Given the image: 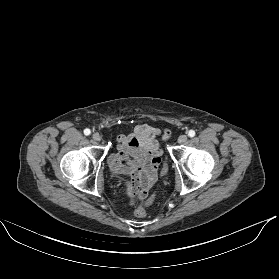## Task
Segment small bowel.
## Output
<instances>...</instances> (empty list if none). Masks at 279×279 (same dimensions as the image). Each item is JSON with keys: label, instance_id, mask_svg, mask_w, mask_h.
I'll list each match as a JSON object with an SVG mask.
<instances>
[{"label": "small bowel", "instance_id": "small-bowel-1", "mask_svg": "<svg viewBox=\"0 0 279 279\" xmlns=\"http://www.w3.org/2000/svg\"><path fill=\"white\" fill-rule=\"evenodd\" d=\"M169 132L161 131L149 124L135 125L129 133H120L117 151L109 160L116 175H128L127 196L130 203L147 197L152 188L160 164L159 138H167Z\"/></svg>", "mask_w": 279, "mask_h": 279}]
</instances>
